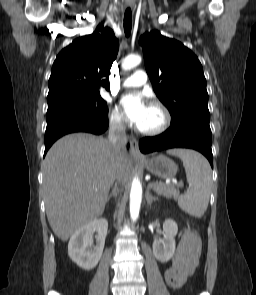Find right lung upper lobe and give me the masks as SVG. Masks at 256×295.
I'll list each match as a JSON object with an SVG mask.
<instances>
[{"mask_svg": "<svg viewBox=\"0 0 256 295\" xmlns=\"http://www.w3.org/2000/svg\"><path fill=\"white\" fill-rule=\"evenodd\" d=\"M118 53L114 32L98 25L95 32L74 40L53 63L47 100L67 94L95 95L99 86L110 88L108 77Z\"/></svg>", "mask_w": 256, "mask_h": 295, "instance_id": "1", "label": "right lung upper lobe"}]
</instances>
